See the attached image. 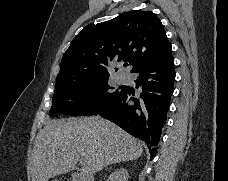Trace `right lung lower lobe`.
<instances>
[{
	"label": "right lung lower lobe",
	"mask_w": 228,
	"mask_h": 181,
	"mask_svg": "<svg viewBox=\"0 0 228 181\" xmlns=\"http://www.w3.org/2000/svg\"><path fill=\"white\" fill-rule=\"evenodd\" d=\"M171 48L132 71L139 74L135 89L124 87L122 96L99 113L132 136L146 142L150 159L156 155V145L173 93L175 72Z\"/></svg>",
	"instance_id": "1"
}]
</instances>
